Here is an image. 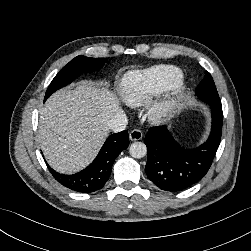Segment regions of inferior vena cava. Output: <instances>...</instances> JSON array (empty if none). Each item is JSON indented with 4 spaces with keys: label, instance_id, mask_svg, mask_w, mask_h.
<instances>
[{
    "label": "inferior vena cava",
    "instance_id": "1",
    "mask_svg": "<svg viewBox=\"0 0 251 251\" xmlns=\"http://www.w3.org/2000/svg\"><path fill=\"white\" fill-rule=\"evenodd\" d=\"M128 124L126 114L121 111L115 114L107 123L108 128L113 132L123 131Z\"/></svg>",
    "mask_w": 251,
    "mask_h": 251
}]
</instances>
